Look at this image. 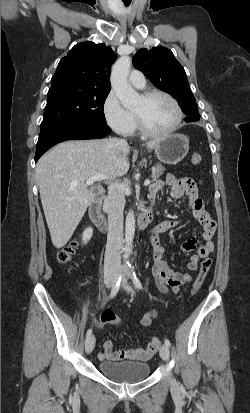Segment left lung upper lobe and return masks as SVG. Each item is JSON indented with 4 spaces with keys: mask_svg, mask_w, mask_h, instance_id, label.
<instances>
[{
    "mask_svg": "<svg viewBox=\"0 0 250 413\" xmlns=\"http://www.w3.org/2000/svg\"><path fill=\"white\" fill-rule=\"evenodd\" d=\"M133 65L157 88L174 96L186 117H200L185 70L169 49H140L133 58Z\"/></svg>",
    "mask_w": 250,
    "mask_h": 413,
    "instance_id": "obj_1",
    "label": "left lung upper lobe"
}]
</instances>
